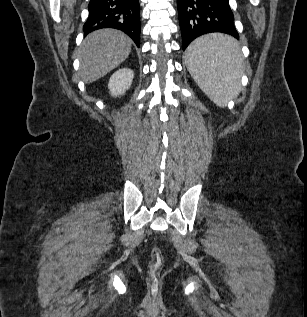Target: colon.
I'll list each match as a JSON object with an SVG mask.
<instances>
[{
    "label": "colon",
    "instance_id": "obj_1",
    "mask_svg": "<svg viewBox=\"0 0 307 317\" xmlns=\"http://www.w3.org/2000/svg\"><path fill=\"white\" fill-rule=\"evenodd\" d=\"M163 266V258L160 251L155 248L152 251V258L149 264V277L154 286H157Z\"/></svg>",
    "mask_w": 307,
    "mask_h": 317
}]
</instances>
